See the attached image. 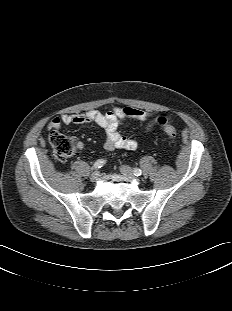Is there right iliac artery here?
I'll return each mask as SVG.
<instances>
[{
  "label": "right iliac artery",
  "mask_w": 232,
  "mask_h": 311,
  "mask_svg": "<svg viewBox=\"0 0 232 311\" xmlns=\"http://www.w3.org/2000/svg\"><path fill=\"white\" fill-rule=\"evenodd\" d=\"M106 164V161L104 159H99L94 163L93 169H99L103 167Z\"/></svg>",
  "instance_id": "right-iliac-artery-1"
}]
</instances>
